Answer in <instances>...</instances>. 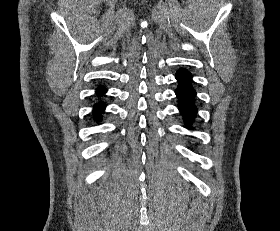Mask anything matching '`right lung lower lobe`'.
I'll return each instance as SVG.
<instances>
[{
	"label": "right lung lower lobe",
	"mask_w": 280,
	"mask_h": 231,
	"mask_svg": "<svg viewBox=\"0 0 280 231\" xmlns=\"http://www.w3.org/2000/svg\"><path fill=\"white\" fill-rule=\"evenodd\" d=\"M106 90H101V91H97V93L99 94L98 96H101L102 93H104ZM105 109V104L103 101H100L99 103L94 104V108H93V115H94V119L96 121H100L101 120V114L103 113V110Z\"/></svg>",
	"instance_id": "right-lung-lower-lobe-1"
}]
</instances>
